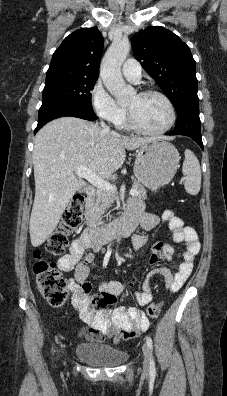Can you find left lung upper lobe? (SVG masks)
Here are the masks:
<instances>
[{
    "instance_id": "1",
    "label": "left lung upper lobe",
    "mask_w": 227,
    "mask_h": 396,
    "mask_svg": "<svg viewBox=\"0 0 227 396\" xmlns=\"http://www.w3.org/2000/svg\"><path fill=\"white\" fill-rule=\"evenodd\" d=\"M133 52L175 109L198 103L196 65L189 47L170 30L153 26L131 38Z\"/></svg>"
}]
</instances>
